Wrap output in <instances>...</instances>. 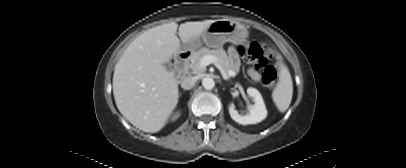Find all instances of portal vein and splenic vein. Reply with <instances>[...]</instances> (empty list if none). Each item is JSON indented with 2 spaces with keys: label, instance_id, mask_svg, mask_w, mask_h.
I'll use <instances>...</instances> for the list:
<instances>
[{
  "label": "portal vein and splenic vein",
  "instance_id": "portal-vein-and-splenic-vein-1",
  "mask_svg": "<svg viewBox=\"0 0 406 168\" xmlns=\"http://www.w3.org/2000/svg\"><path fill=\"white\" fill-rule=\"evenodd\" d=\"M214 63L216 65V67L220 70L222 76L224 79H228L229 77H234L236 75V73L232 70H230L228 72V75L223 71V69L221 68V66L217 63V58L215 56L212 55H205L204 57H202V59L200 60V67L204 68L206 66H208L209 64Z\"/></svg>",
  "mask_w": 406,
  "mask_h": 168
}]
</instances>
